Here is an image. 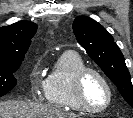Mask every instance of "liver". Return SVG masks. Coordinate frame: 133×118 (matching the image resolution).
<instances>
[{
  "label": "liver",
  "instance_id": "obj_1",
  "mask_svg": "<svg viewBox=\"0 0 133 118\" xmlns=\"http://www.w3.org/2000/svg\"><path fill=\"white\" fill-rule=\"evenodd\" d=\"M0 118H79L74 113L34 102H0Z\"/></svg>",
  "mask_w": 133,
  "mask_h": 118
}]
</instances>
